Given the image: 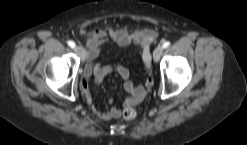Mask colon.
I'll list each match as a JSON object with an SVG mask.
<instances>
[{
	"label": "colon",
	"mask_w": 247,
	"mask_h": 145,
	"mask_svg": "<svg viewBox=\"0 0 247 145\" xmlns=\"http://www.w3.org/2000/svg\"><path fill=\"white\" fill-rule=\"evenodd\" d=\"M122 117L125 120H134L137 117V112L133 108H125L122 112Z\"/></svg>",
	"instance_id": "obj_1"
}]
</instances>
